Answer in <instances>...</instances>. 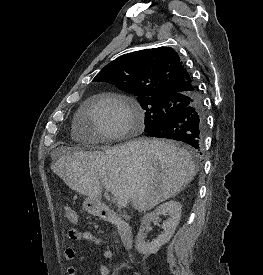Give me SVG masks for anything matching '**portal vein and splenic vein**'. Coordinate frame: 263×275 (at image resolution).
<instances>
[{"label":"portal vein and splenic vein","instance_id":"18ae733b","mask_svg":"<svg viewBox=\"0 0 263 275\" xmlns=\"http://www.w3.org/2000/svg\"><path fill=\"white\" fill-rule=\"evenodd\" d=\"M105 189L107 192H110L113 195V200H115L117 202V206L119 209L125 208L127 206L128 202H129L128 197H124L123 195L118 194L112 188H110V186H108V185H105Z\"/></svg>","mask_w":263,"mask_h":275}]
</instances>
